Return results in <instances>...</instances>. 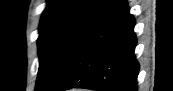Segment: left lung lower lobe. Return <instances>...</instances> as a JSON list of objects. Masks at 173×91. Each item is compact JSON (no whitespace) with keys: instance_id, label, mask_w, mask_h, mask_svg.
<instances>
[{"instance_id":"1","label":"left lung lower lobe","mask_w":173,"mask_h":91,"mask_svg":"<svg viewBox=\"0 0 173 91\" xmlns=\"http://www.w3.org/2000/svg\"><path fill=\"white\" fill-rule=\"evenodd\" d=\"M134 26L127 2L116 0L78 46L51 91H136L140 66Z\"/></svg>"}]
</instances>
